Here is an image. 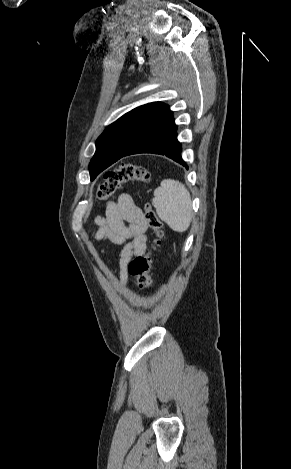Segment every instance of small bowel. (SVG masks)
Segmentation results:
<instances>
[{
  "label": "small bowel",
  "mask_w": 291,
  "mask_h": 469,
  "mask_svg": "<svg viewBox=\"0 0 291 469\" xmlns=\"http://www.w3.org/2000/svg\"><path fill=\"white\" fill-rule=\"evenodd\" d=\"M93 222L97 226L92 231L94 239H109L122 245L118 281L125 287L128 283V263L132 258L143 255L147 249L148 224L144 213L130 195L123 194L117 202L108 203L105 216H96Z\"/></svg>",
  "instance_id": "1"
}]
</instances>
